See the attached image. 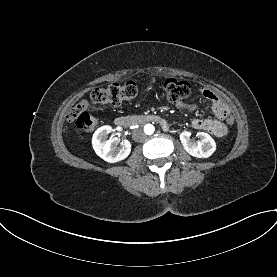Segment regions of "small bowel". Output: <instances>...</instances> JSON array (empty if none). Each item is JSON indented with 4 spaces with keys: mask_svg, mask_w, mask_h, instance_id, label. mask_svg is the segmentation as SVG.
<instances>
[{
    "mask_svg": "<svg viewBox=\"0 0 277 277\" xmlns=\"http://www.w3.org/2000/svg\"><path fill=\"white\" fill-rule=\"evenodd\" d=\"M202 95L210 102L211 109L216 118H197L191 120L193 127L213 133L217 137H222L227 133V127L224 125V118L230 114L227 104L209 89H202ZM181 109H191L192 106L183 102L177 103Z\"/></svg>",
    "mask_w": 277,
    "mask_h": 277,
    "instance_id": "small-bowel-1",
    "label": "small bowel"
}]
</instances>
